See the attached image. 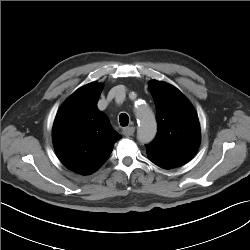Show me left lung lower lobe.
I'll return each mask as SVG.
<instances>
[{
	"instance_id": "left-lung-lower-lobe-1",
	"label": "left lung lower lobe",
	"mask_w": 250,
	"mask_h": 250,
	"mask_svg": "<svg viewBox=\"0 0 250 250\" xmlns=\"http://www.w3.org/2000/svg\"><path fill=\"white\" fill-rule=\"evenodd\" d=\"M147 157L154 164L165 169L176 168V167L184 165L187 162V161H182V160H172V159H167V158H162V157H156V156H152L148 154H147Z\"/></svg>"
}]
</instances>
